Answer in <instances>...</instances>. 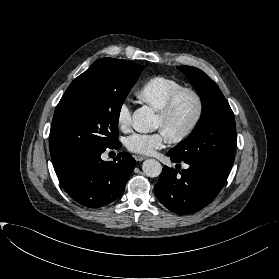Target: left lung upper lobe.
<instances>
[{
    "instance_id": "1",
    "label": "left lung upper lobe",
    "mask_w": 279,
    "mask_h": 279,
    "mask_svg": "<svg viewBox=\"0 0 279 279\" xmlns=\"http://www.w3.org/2000/svg\"><path fill=\"white\" fill-rule=\"evenodd\" d=\"M200 95L202 115L192 133L169 151L179 161L205 163L230 173L236 146L232 109L218 85L202 70L178 66Z\"/></svg>"
}]
</instances>
